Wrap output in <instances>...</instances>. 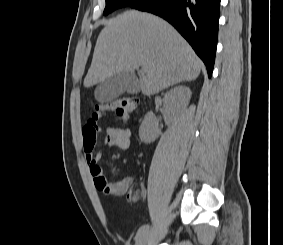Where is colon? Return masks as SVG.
<instances>
[{"label": "colon", "instance_id": "obj_1", "mask_svg": "<svg viewBox=\"0 0 283 245\" xmlns=\"http://www.w3.org/2000/svg\"><path fill=\"white\" fill-rule=\"evenodd\" d=\"M138 105V99L135 97H119L113 101L98 103L95 105L90 119L99 120L104 112L113 111L121 120H126ZM128 199L137 203L139 201V195L128 189Z\"/></svg>", "mask_w": 283, "mask_h": 245}]
</instances>
